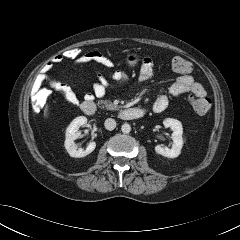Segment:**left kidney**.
<instances>
[{
	"label": "left kidney",
	"instance_id": "obj_1",
	"mask_svg": "<svg viewBox=\"0 0 240 240\" xmlns=\"http://www.w3.org/2000/svg\"><path fill=\"white\" fill-rule=\"evenodd\" d=\"M163 125L165 128H171L173 130L172 140L173 145L172 148L162 147L161 145L155 146V152L167 158H176L180 155L181 149L183 146V128L180 121L173 118H166L163 121Z\"/></svg>",
	"mask_w": 240,
	"mask_h": 240
}]
</instances>
